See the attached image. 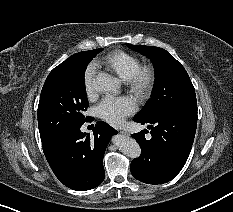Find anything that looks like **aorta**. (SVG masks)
Wrapping results in <instances>:
<instances>
[{
  "instance_id": "1",
  "label": "aorta",
  "mask_w": 233,
  "mask_h": 212,
  "mask_svg": "<svg viewBox=\"0 0 233 212\" xmlns=\"http://www.w3.org/2000/svg\"><path fill=\"white\" fill-rule=\"evenodd\" d=\"M93 88L97 92L116 93L119 89V81L107 73H100L93 82ZM115 146L126 156L138 158L141 154V148L135 139L124 135H116L113 138Z\"/></svg>"
}]
</instances>
